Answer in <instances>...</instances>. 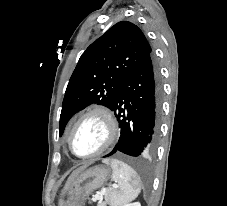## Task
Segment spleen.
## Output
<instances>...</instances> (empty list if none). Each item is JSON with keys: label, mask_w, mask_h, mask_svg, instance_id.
I'll return each mask as SVG.
<instances>
[{"label": "spleen", "mask_w": 227, "mask_h": 206, "mask_svg": "<svg viewBox=\"0 0 227 206\" xmlns=\"http://www.w3.org/2000/svg\"><path fill=\"white\" fill-rule=\"evenodd\" d=\"M113 170L112 180L117 184L110 188L106 199L110 206H124L137 198L141 191V180L126 163L117 159L104 160Z\"/></svg>", "instance_id": "obj_1"}]
</instances>
